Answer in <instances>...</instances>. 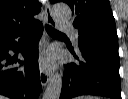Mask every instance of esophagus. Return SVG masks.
Returning a JSON list of instances; mask_svg holds the SVG:
<instances>
[{"label": "esophagus", "mask_w": 128, "mask_h": 99, "mask_svg": "<svg viewBox=\"0 0 128 99\" xmlns=\"http://www.w3.org/2000/svg\"><path fill=\"white\" fill-rule=\"evenodd\" d=\"M44 12L46 17V23L52 27H55L56 21L52 16L51 7L49 3H46ZM49 80H50V77L48 72L43 67H40V81L42 86L45 87L48 84Z\"/></svg>", "instance_id": "34e87169"}]
</instances>
